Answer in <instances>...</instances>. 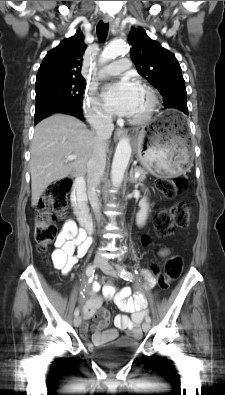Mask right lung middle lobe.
Wrapping results in <instances>:
<instances>
[{
  "label": "right lung middle lobe",
  "instance_id": "right-lung-middle-lobe-1",
  "mask_svg": "<svg viewBox=\"0 0 225 395\" xmlns=\"http://www.w3.org/2000/svg\"><path fill=\"white\" fill-rule=\"evenodd\" d=\"M85 80H60L36 85V110L39 115L62 103L82 104Z\"/></svg>",
  "mask_w": 225,
  "mask_h": 395
}]
</instances>
